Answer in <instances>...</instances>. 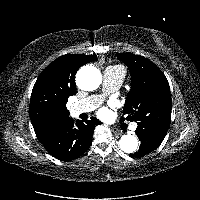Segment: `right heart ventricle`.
Segmentation results:
<instances>
[{
    "label": "right heart ventricle",
    "instance_id": "e07e8e85",
    "mask_svg": "<svg viewBox=\"0 0 200 200\" xmlns=\"http://www.w3.org/2000/svg\"><path fill=\"white\" fill-rule=\"evenodd\" d=\"M110 68L116 69V70H120V71H124L123 67L120 65H115V66H110Z\"/></svg>",
    "mask_w": 200,
    "mask_h": 200
}]
</instances>
